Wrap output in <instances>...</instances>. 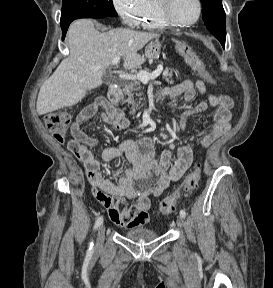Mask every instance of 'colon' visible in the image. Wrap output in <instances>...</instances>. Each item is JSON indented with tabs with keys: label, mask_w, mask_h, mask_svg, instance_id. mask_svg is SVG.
Wrapping results in <instances>:
<instances>
[{
	"label": "colon",
	"mask_w": 273,
	"mask_h": 288,
	"mask_svg": "<svg viewBox=\"0 0 273 288\" xmlns=\"http://www.w3.org/2000/svg\"><path fill=\"white\" fill-rule=\"evenodd\" d=\"M177 50L185 61L209 83L214 84L212 76L206 71L204 64L198 58L196 53L185 43L178 42ZM71 115L66 111H54L45 116V125L54 139L63 143L69 125ZM201 178V168L196 166L184 178L181 186L171 195L164 198L159 205V211L162 215H169L174 212L177 204L182 197L190 195L197 187Z\"/></svg>",
	"instance_id": "obj_1"
}]
</instances>
